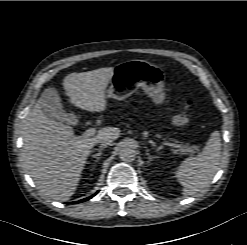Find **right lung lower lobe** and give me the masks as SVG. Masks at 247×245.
<instances>
[{
    "mask_svg": "<svg viewBox=\"0 0 247 245\" xmlns=\"http://www.w3.org/2000/svg\"><path fill=\"white\" fill-rule=\"evenodd\" d=\"M93 196H94V195H93ZM93 196H91V197H88V198H85V199H83V200H80V201H77V202H75V203H79V202H83V201H86V200H88V199L92 198Z\"/></svg>",
    "mask_w": 247,
    "mask_h": 245,
    "instance_id": "obj_1",
    "label": "right lung lower lobe"
}]
</instances>
